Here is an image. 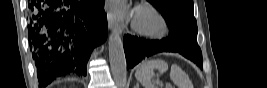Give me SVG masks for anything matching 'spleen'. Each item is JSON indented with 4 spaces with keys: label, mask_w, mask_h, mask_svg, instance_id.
<instances>
[{
    "label": "spleen",
    "mask_w": 267,
    "mask_h": 88,
    "mask_svg": "<svg viewBox=\"0 0 267 88\" xmlns=\"http://www.w3.org/2000/svg\"><path fill=\"white\" fill-rule=\"evenodd\" d=\"M158 70L159 75L163 74L168 69V64L161 59H152L143 62L136 70L135 77L144 88H157L152 79L155 76L154 70ZM171 80L178 86V88H188V77L186 73L177 65L171 66L170 71Z\"/></svg>",
    "instance_id": "spleen-1"
}]
</instances>
